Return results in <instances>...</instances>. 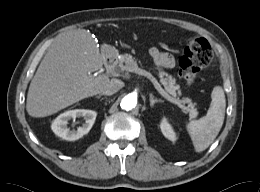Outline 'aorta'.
Listing matches in <instances>:
<instances>
[{
    "mask_svg": "<svg viewBox=\"0 0 260 192\" xmlns=\"http://www.w3.org/2000/svg\"><path fill=\"white\" fill-rule=\"evenodd\" d=\"M137 100L132 95H126L122 98L120 106L123 110L130 111L136 107Z\"/></svg>",
    "mask_w": 260,
    "mask_h": 192,
    "instance_id": "aorta-1",
    "label": "aorta"
}]
</instances>
